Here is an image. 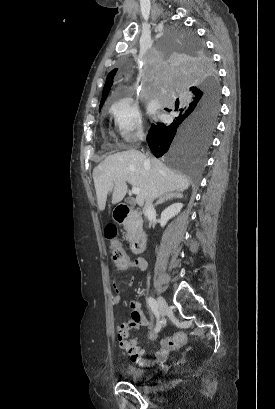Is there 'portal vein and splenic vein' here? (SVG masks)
Masks as SVG:
<instances>
[{
    "label": "portal vein and splenic vein",
    "mask_w": 275,
    "mask_h": 409,
    "mask_svg": "<svg viewBox=\"0 0 275 409\" xmlns=\"http://www.w3.org/2000/svg\"><path fill=\"white\" fill-rule=\"evenodd\" d=\"M132 192L133 194H139V192H141V188H137V186H132Z\"/></svg>",
    "instance_id": "1"
}]
</instances>
